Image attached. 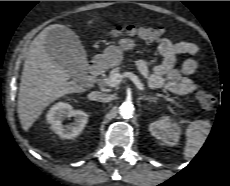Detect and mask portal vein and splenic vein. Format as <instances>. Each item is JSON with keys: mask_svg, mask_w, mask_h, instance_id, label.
<instances>
[{"mask_svg": "<svg viewBox=\"0 0 230 186\" xmlns=\"http://www.w3.org/2000/svg\"><path fill=\"white\" fill-rule=\"evenodd\" d=\"M123 78H129L138 87V89L142 91L145 89L143 83L132 72H124L123 74L120 73L114 74L113 77L109 80L108 85L111 87H115L116 85L120 84Z\"/></svg>", "mask_w": 230, "mask_h": 186, "instance_id": "obj_1", "label": "portal vein and splenic vein"}]
</instances>
